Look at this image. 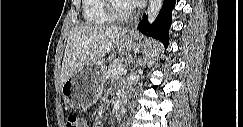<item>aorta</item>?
Returning <instances> with one entry per match:
<instances>
[{
    "label": "aorta",
    "mask_w": 243,
    "mask_h": 127,
    "mask_svg": "<svg viewBox=\"0 0 243 127\" xmlns=\"http://www.w3.org/2000/svg\"><path fill=\"white\" fill-rule=\"evenodd\" d=\"M162 3L163 0H149L148 21L150 24L154 22L155 18L157 17L161 9Z\"/></svg>",
    "instance_id": "762f6f07"
}]
</instances>
